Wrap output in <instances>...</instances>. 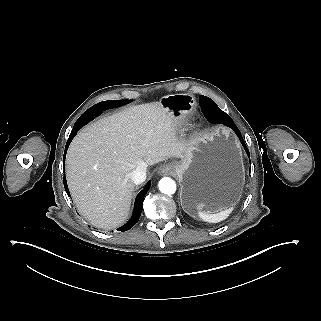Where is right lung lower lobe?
Returning <instances> with one entry per match:
<instances>
[{"label": "right lung lower lobe", "mask_w": 321, "mask_h": 321, "mask_svg": "<svg viewBox=\"0 0 321 321\" xmlns=\"http://www.w3.org/2000/svg\"><path fill=\"white\" fill-rule=\"evenodd\" d=\"M124 104H127V103H114V104H106V105H101V106H99V103H98V104L94 105L93 107L89 108L85 113H83L79 117V119L76 121V123L73 127L71 135H70V137L67 141V144H66L65 154H66L69 144L71 143L72 139L74 138V136L77 134V131L81 127H83L88 122H90L91 120H93L94 118L99 116L104 110L119 107ZM150 186H151V182L149 181L148 184L144 187V189L138 193L136 200H135L134 211H133L132 217L125 225L118 228L117 230L127 231L138 222L140 215L142 213L143 200H144V197H145L146 193L148 192ZM64 187H65L66 192L69 194L66 179H64Z\"/></svg>", "instance_id": "obj_1"}]
</instances>
